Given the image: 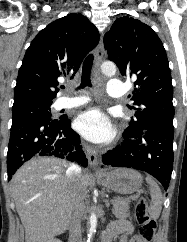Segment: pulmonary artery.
<instances>
[{
	"instance_id": "e3ab8cb5",
	"label": "pulmonary artery",
	"mask_w": 187,
	"mask_h": 242,
	"mask_svg": "<svg viewBox=\"0 0 187 242\" xmlns=\"http://www.w3.org/2000/svg\"><path fill=\"white\" fill-rule=\"evenodd\" d=\"M107 93L110 97H122L124 95V84L117 79H111L108 82ZM85 101V99L81 98H62L59 106L61 108H71L82 105Z\"/></svg>"
}]
</instances>
